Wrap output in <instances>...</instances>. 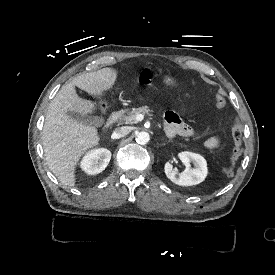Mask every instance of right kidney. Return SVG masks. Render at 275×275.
<instances>
[{"label":"right kidney","instance_id":"obj_1","mask_svg":"<svg viewBox=\"0 0 275 275\" xmlns=\"http://www.w3.org/2000/svg\"><path fill=\"white\" fill-rule=\"evenodd\" d=\"M110 159L111 152L109 150L97 149L85 157L81 166L88 174H98L106 168Z\"/></svg>","mask_w":275,"mask_h":275}]
</instances>
